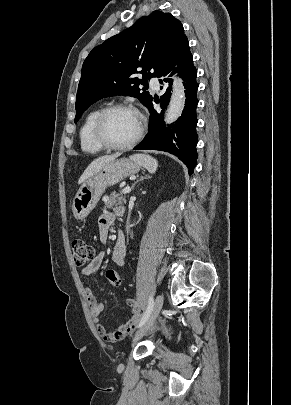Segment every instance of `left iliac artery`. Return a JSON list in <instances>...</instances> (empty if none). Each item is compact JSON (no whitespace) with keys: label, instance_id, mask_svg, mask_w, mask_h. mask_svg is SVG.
Returning a JSON list of instances; mask_svg holds the SVG:
<instances>
[{"label":"left iliac artery","instance_id":"left-iliac-artery-1","mask_svg":"<svg viewBox=\"0 0 291 405\" xmlns=\"http://www.w3.org/2000/svg\"><path fill=\"white\" fill-rule=\"evenodd\" d=\"M153 304H154L153 297L150 296L149 301H148V307H147L143 317L141 318L138 327L143 326L145 324V322L148 320V318L152 312V309H153Z\"/></svg>","mask_w":291,"mask_h":405}]
</instances>
